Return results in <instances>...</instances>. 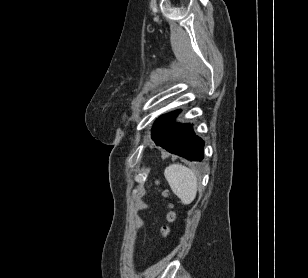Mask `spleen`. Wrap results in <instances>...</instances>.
Returning a JSON list of instances; mask_svg holds the SVG:
<instances>
[{
    "mask_svg": "<svg viewBox=\"0 0 308 278\" xmlns=\"http://www.w3.org/2000/svg\"><path fill=\"white\" fill-rule=\"evenodd\" d=\"M165 178L173 193L184 205L191 204L197 194V176L195 172L179 163L171 164L164 170Z\"/></svg>",
    "mask_w": 308,
    "mask_h": 278,
    "instance_id": "obj_1",
    "label": "spleen"
}]
</instances>
